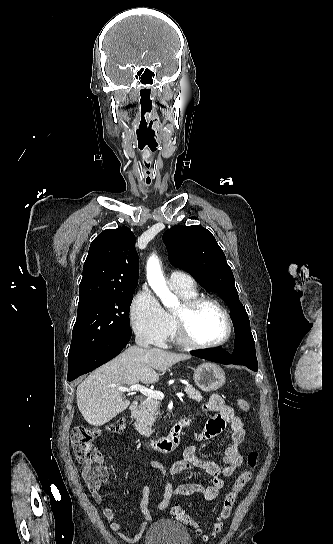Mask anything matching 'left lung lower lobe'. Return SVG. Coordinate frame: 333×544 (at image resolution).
Segmentation results:
<instances>
[{
	"instance_id": "obj_1",
	"label": "left lung lower lobe",
	"mask_w": 333,
	"mask_h": 544,
	"mask_svg": "<svg viewBox=\"0 0 333 544\" xmlns=\"http://www.w3.org/2000/svg\"><path fill=\"white\" fill-rule=\"evenodd\" d=\"M191 355L222 364L244 365L253 371L258 370V363L253 348L248 351L241 347L239 351H234L233 355H230L222 348L216 350H194L191 351Z\"/></svg>"
}]
</instances>
